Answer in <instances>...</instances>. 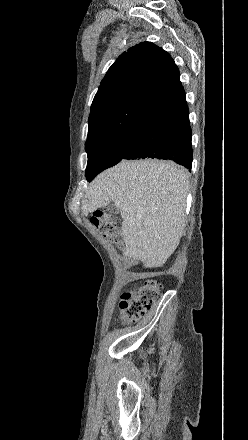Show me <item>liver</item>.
I'll list each match as a JSON object with an SVG mask.
<instances>
[{"label": "liver", "mask_w": 248, "mask_h": 440, "mask_svg": "<svg viewBox=\"0 0 248 440\" xmlns=\"http://www.w3.org/2000/svg\"><path fill=\"white\" fill-rule=\"evenodd\" d=\"M188 176L171 161H121L99 174L82 200L84 215L114 201L123 219L125 256L161 267L185 227Z\"/></svg>", "instance_id": "1"}]
</instances>
